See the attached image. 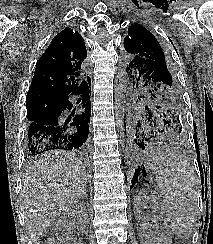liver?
I'll list each match as a JSON object with an SVG mask.
<instances>
[{
    "label": "liver",
    "instance_id": "obj_1",
    "mask_svg": "<svg viewBox=\"0 0 213 244\" xmlns=\"http://www.w3.org/2000/svg\"><path fill=\"white\" fill-rule=\"evenodd\" d=\"M86 169L75 153L46 152L35 158L23 179L21 197L26 227L32 241L83 196Z\"/></svg>",
    "mask_w": 213,
    "mask_h": 244
}]
</instances>
